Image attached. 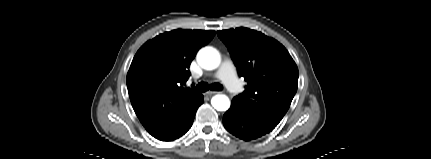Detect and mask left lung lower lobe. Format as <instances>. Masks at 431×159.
Segmentation results:
<instances>
[{
    "instance_id": "1",
    "label": "left lung lower lobe",
    "mask_w": 431,
    "mask_h": 159,
    "mask_svg": "<svg viewBox=\"0 0 431 159\" xmlns=\"http://www.w3.org/2000/svg\"><path fill=\"white\" fill-rule=\"evenodd\" d=\"M280 120L266 114L251 111L237 100L223 116L224 127L234 136L245 141L253 140L272 131Z\"/></svg>"
}]
</instances>
